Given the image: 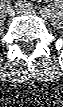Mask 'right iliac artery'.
I'll list each match as a JSON object with an SVG mask.
<instances>
[{"mask_svg": "<svg viewBox=\"0 0 63 107\" xmlns=\"http://www.w3.org/2000/svg\"><path fill=\"white\" fill-rule=\"evenodd\" d=\"M10 7H11V5H10V4H7V10H8Z\"/></svg>", "mask_w": 63, "mask_h": 107, "instance_id": "82829eb1", "label": "right iliac artery"}]
</instances>
